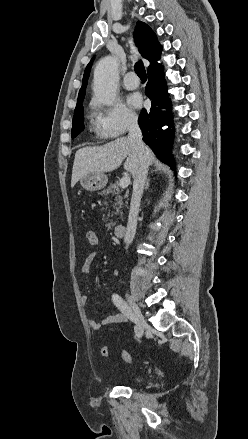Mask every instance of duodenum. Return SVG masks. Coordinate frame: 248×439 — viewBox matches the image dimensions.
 Here are the masks:
<instances>
[{"label": "duodenum", "instance_id": "obj_1", "mask_svg": "<svg viewBox=\"0 0 248 439\" xmlns=\"http://www.w3.org/2000/svg\"><path fill=\"white\" fill-rule=\"evenodd\" d=\"M125 231H126V224L124 223H118L114 226V234L116 236L124 235Z\"/></svg>", "mask_w": 248, "mask_h": 439}]
</instances>
